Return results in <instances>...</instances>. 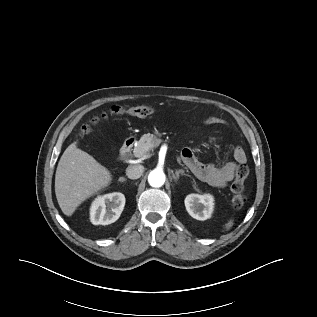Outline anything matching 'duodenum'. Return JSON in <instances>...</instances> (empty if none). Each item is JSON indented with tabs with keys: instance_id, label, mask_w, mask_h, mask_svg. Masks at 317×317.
I'll return each mask as SVG.
<instances>
[{
	"instance_id": "duodenum-1",
	"label": "duodenum",
	"mask_w": 317,
	"mask_h": 317,
	"mask_svg": "<svg viewBox=\"0 0 317 317\" xmlns=\"http://www.w3.org/2000/svg\"><path fill=\"white\" fill-rule=\"evenodd\" d=\"M134 144V139L133 138H128L124 141L123 145L121 146L120 149V155L121 157H125L131 150L132 146Z\"/></svg>"
}]
</instances>
